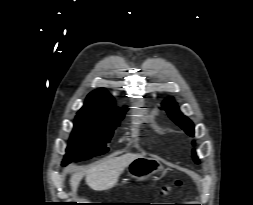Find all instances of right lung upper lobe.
Masks as SVG:
<instances>
[{
	"instance_id": "cb5924a9",
	"label": "right lung upper lobe",
	"mask_w": 253,
	"mask_h": 205,
	"mask_svg": "<svg viewBox=\"0 0 253 205\" xmlns=\"http://www.w3.org/2000/svg\"><path fill=\"white\" fill-rule=\"evenodd\" d=\"M113 103V98L104 89H97L87 96L85 105L78 113L105 117L113 112Z\"/></svg>"
}]
</instances>
